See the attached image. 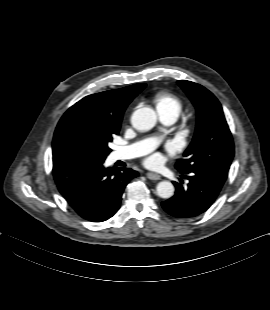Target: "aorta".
Listing matches in <instances>:
<instances>
[{
	"instance_id": "aorta-1",
	"label": "aorta",
	"mask_w": 270,
	"mask_h": 310,
	"mask_svg": "<svg viewBox=\"0 0 270 310\" xmlns=\"http://www.w3.org/2000/svg\"><path fill=\"white\" fill-rule=\"evenodd\" d=\"M157 122L155 111L149 107L139 108L132 114L131 123L139 131H148L152 129ZM157 195L161 198L168 199L174 194V186L169 181H161L156 187Z\"/></svg>"
}]
</instances>
